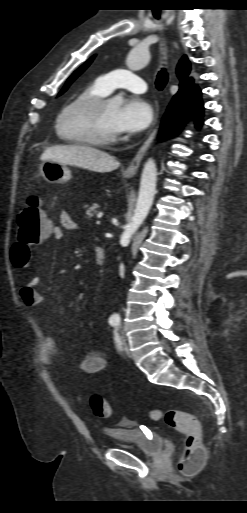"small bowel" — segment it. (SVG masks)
Instances as JSON below:
<instances>
[{
	"label": "small bowel",
	"mask_w": 247,
	"mask_h": 513,
	"mask_svg": "<svg viewBox=\"0 0 247 513\" xmlns=\"http://www.w3.org/2000/svg\"><path fill=\"white\" fill-rule=\"evenodd\" d=\"M58 226L52 225L50 233L45 239L53 238L55 241H61L64 238V230H74L78 228L77 222L68 212H62L59 218ZM41 278L32 276L20 288L19 298L27 307H35L46 302L44 295L39 291ZM60 358V352L54 338L46 335L44 339V350L42 352V362L46 365H55ZM107 366V359L100 351H89L83 355L79 361V369L88 374L98 373Z\"/></svg>",
	"instance_id": "1"
}]
</instances>
